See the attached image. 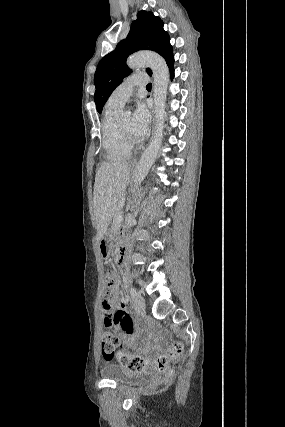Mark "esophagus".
I'll return each mask as SVG.
<instances>
[{
	"label": "esophagus",
	"mask_w": 285,
	"mask_h": 427,
	"mask_svg": "<svg viewBox=\"0 0 285 427\" xmlns=\"http://www.w3.org/2000/svg\"><path fill=\"white\" fill-rule=\"evenodd\" d=\"M152 115H153V129H154V123H155V120H154L155 109H154V108L152 109ZM136 163H137V160H134V161L132 162V164H136Z\"/></svg>",
	"instance_id": "esophagus-1"
}]
</instances>
